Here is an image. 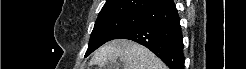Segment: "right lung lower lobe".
I'll list each match as a JSON object with an SVG mask.
<instances>
[{"instance_id":"right-lung-lower-lobe-1","label":"right lung lower lobe","mask_w":246,"mask_h":69,"mask_svg":"<svg viewBox=\"0 0 246 69\" xmlns=\"http://www.w3.org/2000/svg\"><path fill=\"white\" fill-rule=\"evenodd\" d=\"M119 38L144 45L170 69H184L180 19L171 0L144 12L142 20L116 39Z\"/></svg>"}]
</instances>
